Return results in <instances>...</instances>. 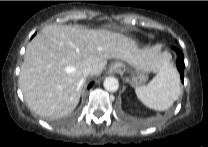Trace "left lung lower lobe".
<instances>
[{
  "instance_id": "left-lung-lower-lobe-1",
  "label": "left lung lower lobe",
  "mask_w": 208,
  "mask_h": 147,
  "mask_svg": "<svg viewBox=\"0 0 208 147\" xmlns=\"http://www.w3.org/2000/svg\"><path fill=\"white\" fill-rule=\"evenodd\" d=\"M177 53V69L181 76V81L184 80V55L178 48H173Z\"/></svg>"
}]
</instances>
